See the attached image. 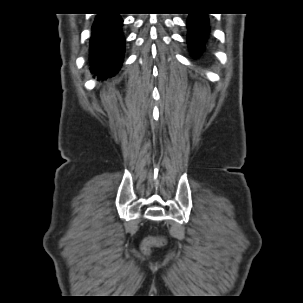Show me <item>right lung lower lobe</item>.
<instances>
[{"label": "right lung lower lobe", "mask_w": 303, "mask_h": 303, "mask_svg": "<svg viewBox=\"0 0 303 303\" xmlns=\"http://www.w3.org/2000/svg\"><path fill=\"white\" fill-rule=\"evenodd\" d=\"M123 20L118 14H98L90 40V70L98 79L113 76L124 57Z\"/></svg>", "instance_id": "obj_1"}]
</instances>
